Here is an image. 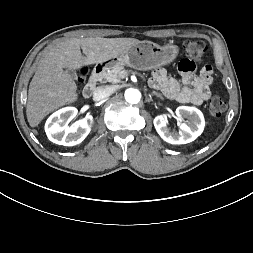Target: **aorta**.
<instances>
[{"instance_id":"aorta-1","label":"aorta","mask_w":253,"mask_h":253,"mask_svg":"<svg viewBox=\"0 0 253 253\" xmlns=\"http://www.w3.org/2000/svg\"><path fill=\"white\" fill-rule=\"evenodd\" d=\"M125 99L128 103L137 104L141 99V93L138 89L129 88L125 91Z\"/></svg>"}]
</instances>
